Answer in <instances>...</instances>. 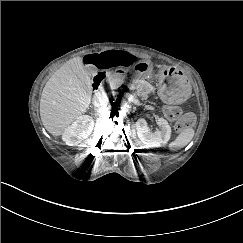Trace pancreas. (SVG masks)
Wrapping results in <instances>:
<instances>
[{"label": "pancreas", "mask_w": 243, "mask_h": 243, "mask_svg": "<svg viewBox=\"0 0 243 243\" xmlns=\"http://www.w3.org/2000/svg\"><path fill=\"white\" fill-rule=\"evenodd\" d=\"M108 81L118 80L124 82L125 78L120 75H110L107 78ZM137 88V95L141 98L142 101H146L151 94V89L147 84H136Z\"/></svg>", "instance_id": "cf45deb5"}]
</instances>
